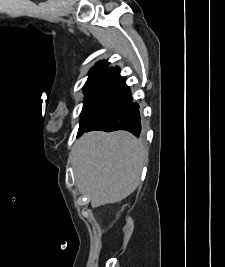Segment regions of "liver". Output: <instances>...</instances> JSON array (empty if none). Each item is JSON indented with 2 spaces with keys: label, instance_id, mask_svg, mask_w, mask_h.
<instances>
[{
  "label": "liver",
  "instance_id": "liver-1",
  "mask_svg": "<svg viewBox=\"0 0 225 267\" xmlns=\"http://www.w3.org/2000/svg\"><path fill=\"white\" fill-rule=\"evenodd\" d=\"M147 157L129 132L93 131L76 142L71 162L79 191L97 208L122 201L138 187Z\"/></svg>",
  "mask_w": 225,
  "mask_h": 267
}]
</instances>
